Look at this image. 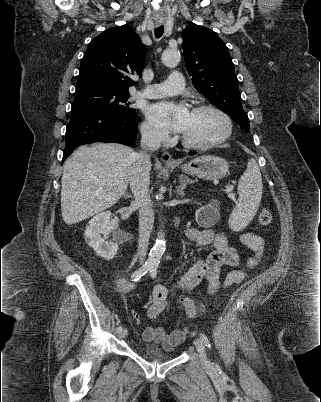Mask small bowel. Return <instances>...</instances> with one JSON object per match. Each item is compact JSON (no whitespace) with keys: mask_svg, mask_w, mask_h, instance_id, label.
Segmentation results:
<instances>
[{"mask_svg":"<svg viewBox=\"0 0 321 402\" xmlns=\"http://www.w3.org/2000/svg\"><path fill=\"white\" fill-rule=\"evenodd\" d=\"M186 235L197 246L212 244L214 251L205 258L197 260L179 277L172 287L162 284L154 286L151 301L147 307V316L150 319H158L168 309L170 306L168 296L171 291L189 290L205 278L209 282V292L214 293L222 285L220 278L221 268L236 267L239 264V256L235 249L229 246L228 239L224 233L211 229L188 228ZM240 242L253 251L254 254L249 258L248 265L250 268H254L263 255V238L255 232H245L240 236ZM245 277V273L234 269L227 274L223 286L241 283ZM118 288L121 292L127 293L135 288V284L126 277H121L118 281ZM176 303L187 317L197 315L192 299L181 297L176 300ZM142 335L146 342H154L160 344L164 349L170 350L184 341L186 331L178 329L168 333L163 327L147 326Z\"/></svg>","mask_w":321,"mask_h":402,"instance_id":"obj_1","label":"small bowel"}]
</instances>
